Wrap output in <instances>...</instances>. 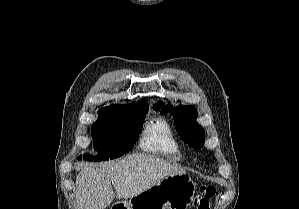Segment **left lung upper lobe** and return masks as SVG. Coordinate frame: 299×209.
<instances>
[{"instance_id": "obj_1", "label": "left lung upper lobe", "mask_w": 299, "mask_h": 209, "mask_svg": "<svg viewBox=\"0 0 299 209\" xmlns=\"http://www.w3.org/2000/svg\"><path fill=\"white\" fill-rule=\"evenodd\" d=\"M162 106L163 103L159 102L153 106V109L158 111ZM167 111V107L164 106L161 113ZM170 112L174 117V123L181 139L194 149H200L204 144V130L196 122L197 109L194 106L180 105L177 108H172Z\"/></svg>"}]
</instances>
